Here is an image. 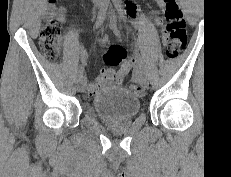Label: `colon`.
Returning <instances> with one entry per match:
<instances>
[{"mask_svg": "<svg viewBox=\"0 0 231 177\" xmlns=\"http://www.w3.org/2000/svg\"><path fill=\"white\" fill-rule=\"evenodd\" d=\"M57 0H49L51 5ZM165 10L164 39L167 43L166 56L168 59L176 58L185 48L187 43V31L182 12L176 0H162ZM40 48L45 57L52 61L60 58L61 30L54 18H51L42 28L39 37ZM126 59L125 51L119 46H113L105 54L107 64L117 65ZM130 89L139 92L140 88L131 85Z\"/></svg>", "mask_w": 231, "mask_h": 177, "instance_id": "colon-1", "label": "colon"}]
</instances>
